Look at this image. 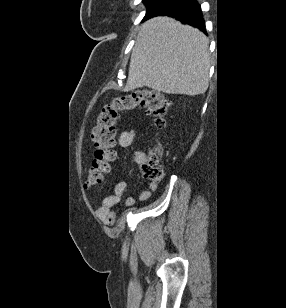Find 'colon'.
Instances as JSON below:
<instances>
[{"mask_svg": "<svg viewBox=\"0 0 286 308\" xmlns=\"http://www.w3.org/2000/svg\"><path fill=\"white\" fill-rule=\"evenodd\" d=\"M170 107L171 102L161 93L147 88L136 89L127 94L116 96L104 105L92 132V140L96 148L95 158L88 169L85 186L92 188L100 185L105 174L109 171L110 162L115 157L113 148L116 137V123L121 112L143 108L155 117V126L164 129L167 126L166 115ZM160 156V149L156 147L143 161L142 171L146 178L153 181L162 178L163 170Z\"/></svg>", "mask_w": 286, "mask_h": 308, "instance_id": "colon-1", "label": "colon"}]
</instances>
